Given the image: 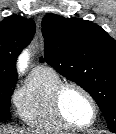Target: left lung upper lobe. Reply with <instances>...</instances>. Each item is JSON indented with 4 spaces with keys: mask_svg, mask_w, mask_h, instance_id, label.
Masks as SVG:
<instances>
[{
    "mask_svg": "<svg viewBox=\"0 0 116 134\" xmlns=\"http://www.w3.org/2000/svg\"><path fill=\"white\" fill-rule=\"evenodd\" d=\"M42 33L45 61L94 98L116 133V41L90 21L52 13L43 18Z\"/></svg>",
    "mask_w": 116,
    "mask_h": 134,
    "instance_id": "obj_1",
    "label": "left lung upper lobe"
}]
</instances>
